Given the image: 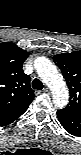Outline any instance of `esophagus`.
I'll return each mask as SVG.
<instances>
[{
    "label": "esophagus",
    "mask_w": 81,
    "mask_h": 155,
    "mask_svg": "<svg viewBox=\"0 0 81 155\" xmlns=\"http://www.w3.org/2000/svg\"><path fill=\"white\" fill-rule=\"evenodd\" d=\"M44 93H48L49 92V89L47 87H44L43 90H42Z\"/></svg>",
    "instance_id": "1"
}]
</instances>
